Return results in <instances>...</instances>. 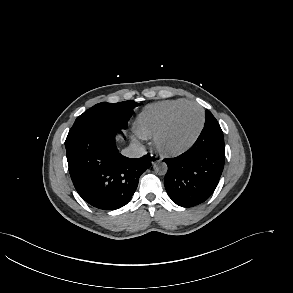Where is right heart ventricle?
I'll list each match as a JSON object with an SVG mask.
<instances>
[{
    "label": "right heart ventricle",
    "instance_id": "e07e8e85",
    "mask_svg": "<svg viewBox=\"0 0 293 293\" xmlns=\"http://www.w3.org/2000/svg\"><path fill=\"white\" fill-rule=\"evenodd\" d=\"M188 102L186 99L159 101L146 106L139 114L135 127L142 138H151L163 125L170 112L177 106Z\"/></svg>",
    "mask_w": 293,
    "mask_h": 293
}]
</instances>
